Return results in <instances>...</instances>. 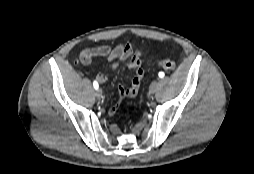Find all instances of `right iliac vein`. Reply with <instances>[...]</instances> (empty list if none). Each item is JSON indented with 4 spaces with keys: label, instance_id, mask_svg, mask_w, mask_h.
Returning <instances> with one entry per match:
<instances>
[{
    "label": "right iliac vein",
    "instance_id": "1",
    "mask_svg": "<svg viewBox=\"0 0 254 174\" xmlns=\"http://www.w3.org/2000/svg\"><path fill=\"white\" fill-rule=\"evenodd\" d=\"M95 96L98 99H101L103 97L102 90L101 89H97L96 92H95Z\"/></svg>",
    "mask_w": 254,
    "mask_h": 174
}]
</instances>
